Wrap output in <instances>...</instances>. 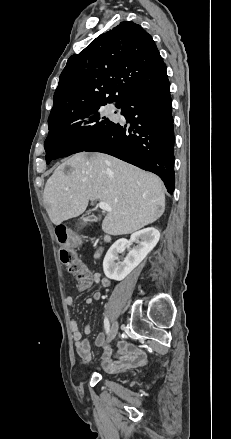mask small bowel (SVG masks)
<instances>
[{"label": "small bowel", "mask_w": 231, "mask_h": 439, "mask_svg": "<svg viewBox=\"0 0 231 439\" xmlns=\"http://www.w3.org/2000/svg\"><path fill=\"white\" fill-rule=\"evenodd\" d=\"M91 283L97 284L103 288L110 287V280L103 277L101 273L94 272L91 276ZM102 298V294L99 291L94 292L90 297H87L86 304H92L95 301H99ZM68 308H72L74 304V298L72 295H68L65 299ZM70 330L72 332V338L75 342V347L79 357L88 362L91 360L90 343L89 340L83 337L79 329L78 322L75 318H71L69 322ZM91 333V327L86 325L84 327V334L89 335ZM96 345L101 348V367L108 372H119L127 368L137 367L145 363L146 354L141 349L134 345H130L125 341H121L118 344L116 352H113L110 347L105 343V338L102 333H99L95 340Z\"/></svg>", "instance_id": "c3829d8e"}]
</instances>
